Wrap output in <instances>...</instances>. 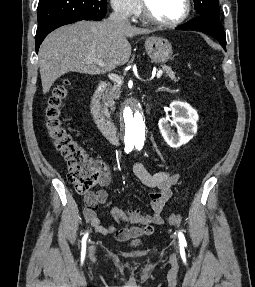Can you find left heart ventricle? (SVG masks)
<instances>
[{
  "label": "left heart ventricle",
  "instance_id": "1",
  "mask_svg": "<svg viewBox=\"0 0 255 287\" xmlns=\"http://www.w3.org/2000/svg\"><path fill=\"white\" fill-rule=\"evenodd\" d=\"M117 33H128V32H117ZM154 33H168V32H154ZM117 39H131V38H117ZM152 39H162V38H152ZM116 48H131V47H116ZM150 48H162V47H150Z\"/></svg>",
  "mask_w": 255,
  "mask_h": 287
}]
</instances>
